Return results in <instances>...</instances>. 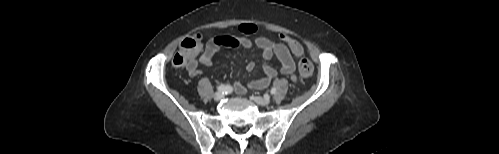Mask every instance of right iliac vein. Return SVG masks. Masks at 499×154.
Instances as JSON below:
<instances>
[{"mask_svg":"<svg viewBox=\"0 0 499 154\" xmlns=\"http://www.w3.org/2000/svg\"><path fill=\"white\" fill-rule=\"evenodd\" d=\"M223 97H224V95L221 92H216L213 96L215 101H220Z\"/></svg>","mask_w":499,"mask_h":154,"instance_id":"obj_1","label":"right iliac vein"}]
</instances>
